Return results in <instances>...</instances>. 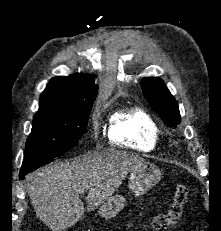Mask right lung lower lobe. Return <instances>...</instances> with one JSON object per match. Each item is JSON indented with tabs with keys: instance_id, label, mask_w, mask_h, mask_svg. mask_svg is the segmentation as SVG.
Segmentation results:
<instances>
[{
	"instance_id": "1",
	"label": "right lung lower lobe",
	"mask_w": 221,
	"mask_h": 231,
	"mask_svg": "<svg viewBox=\"0 0 221 231\" xmlns=\"http://www.w3.org/2000/svg\"><path fill=\"white\" fill-rule=\"evenodd\" d=\"M51 161H53V159H49V160L40 162V163L35 164V165H33L31 167H28V168H21L20 174H19V179L23 180L26 174H28L29 172H32V171L36 170L37 168H39V167H41V166H43V165H45V164H47V163H49Z\"/></svg>"
}]
</instances>
